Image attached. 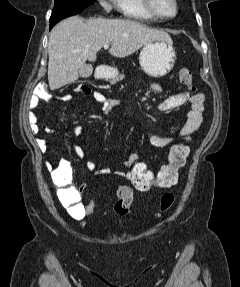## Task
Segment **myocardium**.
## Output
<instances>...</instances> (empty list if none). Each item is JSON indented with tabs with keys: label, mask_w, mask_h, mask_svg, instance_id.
<instances>
[{
	"label": "myocardium",
	"mask_w": 240,
	"mask_h": 287,
	"mask_svg": "<svg viewBox=\"0 0 240 287\" xmlns=\"http://www.w3.org/2000/svg\"><path fill=\"white\" fill-rule=\"evenodd\" d=\"M143 2H144V6H145L146 10L148 11V13L150 15H152L154 18L159 19V20L167 21V20L173 19L179 13V2H178V0H173L174 5H175V12L173 15H170V16H166V15L161 14L157 10L154 0H143Z\"/></svg>",
	"instance_id": "f54148a6"
}]
</instances>
